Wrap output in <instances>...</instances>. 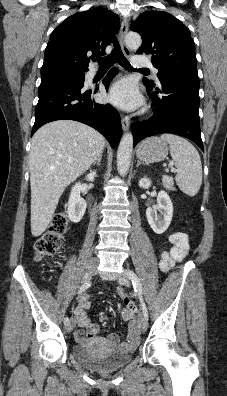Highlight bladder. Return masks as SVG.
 Returning a JSON list of instances; mask_svg holds the SVG:
<instances>
[{
	"mask_svg": "<svg viewBox=\"0 0 227 396\" xmlns=\"http://www.w3.org/2000/svg\"><path fill=\"white\" fill-rule=\"evenodd\" d=\"M74 358L86 368L96 372H109L126 365L132 358L131 352L103 354L89 344L75 345Z\"/></svg>",
	"mask_w": 227,
	"mask_h": 396,
	"instance_id": "obj_1",
	"label": "bladder"
}]
</instances>
